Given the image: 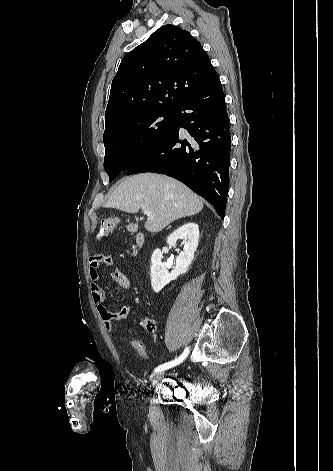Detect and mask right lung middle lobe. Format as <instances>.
Wrapping results in <instances>:
<instances>
[{
	"instance_id": "1",
	"label": "right lung middle lobe",
	"mask_w": 333,
	"mask_h": 471,
	"mask_svg": "<svg viewBox=\"0 0 333 471\" xmlns=\"http://www.w3.org/2000/svg\"><path fill=\"white\" fill-rule=\"evenodd\" d=\"M175 112L148 110L112 123L104 132V169L112 182L173 125Z\"/></svg>"
}]
</instances>
